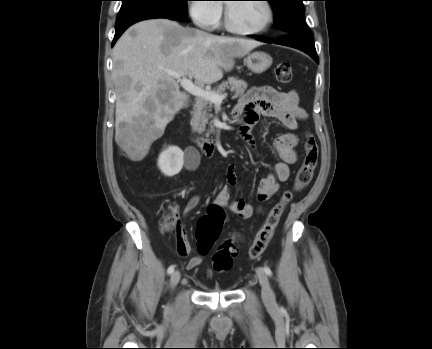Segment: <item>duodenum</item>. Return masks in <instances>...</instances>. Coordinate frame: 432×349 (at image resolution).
<instances>
[{
    "label": "duodenum",
    "instance_id": "410a0bca",
    "mask_svg": "<svg viewBox=\"0 0 432 349\" xmlns=\"http://www.w3.org/2000/svg\"><path fill=\"white\" fill-rule=\"evenodd\" d=\"M201 149L205 156H212L216 152V142L213 139L198 137Z\"/></svg>",
    "mask_w": 432,
    "mask_h": 349
}]
</instances>
